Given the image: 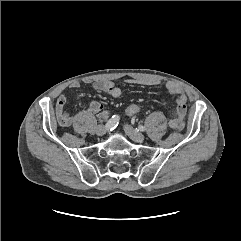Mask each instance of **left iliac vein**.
<instances>
[{"mask_svg":"<svg viewBox=\"0 0 241 241\" xmlns=\"http://www.w3.org/2000/svg\"><path fill=\"white\" fill-rule=\"evenodd\" d=\"M124 130L127 135L135 142H143L145 136L140 133L137 129L132 128L130 125H124Z\"/></svg>","mask_w":241,"mask_h":241,"instance_id":"1","label":"left iliac vein"}]
</instances>
